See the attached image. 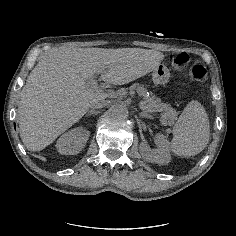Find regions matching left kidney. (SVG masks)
<instances>
[{"label":"left kidney","mask_w":236,"mask_h":236,"mask_svg":"<svg viewBox=\"0 0 236 236\" xmlns=\"http://www.w3.org/2000/svg\"><path fill=\"white\" fill-rule=\"evenodd\" d=\"M155 140L158 143V148L152 150L147 142L139 144V152L141 156L149 163L167 164L170 162V149L166 138L161 134L155 135Z\"/></svg>","instance_id":"1"}]
</instances>
